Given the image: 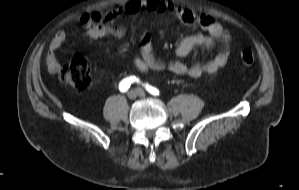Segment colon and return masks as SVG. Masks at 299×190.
Masks as SVG:
<instances>
[{
    "mask_svg": "<svg viewBox=\"0 0 299 190\" xmlns=\"http://www.w3.org/2000/svg\"><path fill=\"white\" fill-rule=\"evenodd\" d=\"M239 57L244 66H251L254 62V54L249 48H243ZM60 80L79 92L88 90L92 84L88 60L83 55H75L61 70Z\"/></svg>",
    "mask_w": 299,
    "mask_h": 190,
    "instance_id": "colon-1",
    "label": "colon"
}]
</instances>
